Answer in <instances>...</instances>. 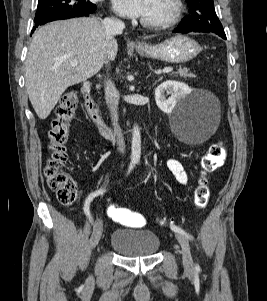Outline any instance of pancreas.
Wrapping results in <instances>:
<instances>
[{
	"label": "pancreas",
	"instance_id": "cf45deb5",
	"mask_svg": "<svg viewBox=\"0 0 267 301\" xmlns=\"http://www.w3.org/2000/svg\"><path fill=\"white\" fill-rule=\"evenodd\" d=\"M175 76H180V77H183V78H193L195 77L194 74H192L191 72H189V69L188 68H179L177 72H174L173 73Z\"/></svg>",
	"mask_w": 267,
	"mask_h": 301
}]
</instances>
